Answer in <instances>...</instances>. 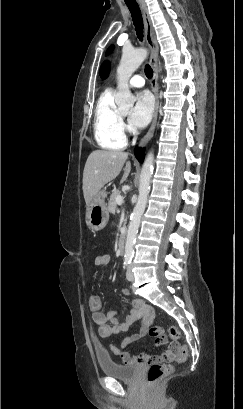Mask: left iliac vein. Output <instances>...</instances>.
Returning a JSON list of instances; mask_svg holds the SVG:
<instances>
[{"mask_svg":"<svg viewBox=\"0 0 243 409\" xmlns=\"http://www.w3.org/2000/svg\"><path fill=\"white\" fill-rule=\"evenodd\" d=\"M126 278H127L128 281H132V280H133L132 265H130V266L127 268Z\"/></svg>","mask_w":243,"mask_h":409,"instance_id":"left-iliac-vein-1","label":"left iliac vein"}]
</instances>
